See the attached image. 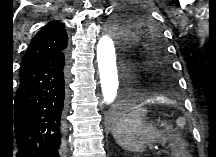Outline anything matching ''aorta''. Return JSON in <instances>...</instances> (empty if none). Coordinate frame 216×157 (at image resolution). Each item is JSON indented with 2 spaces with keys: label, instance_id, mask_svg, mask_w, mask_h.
<instances>
[{
  "label": "aorta",
  "instance_id": "obj_1",
  "mask_svg": "<svg viewBox=\"0 0 216 157\" xmlns=\"http://www.w3.org/2000/svg\"><path fill=\"white\" fill-rule=\"evenodd\" d=\"M97 62L104 102L111 104L118 93L119 79L112 38L103 35L97 44Z\"/></svg>",
  "mask_w": 216,
  "mask_h": 157
}]
</instances>
